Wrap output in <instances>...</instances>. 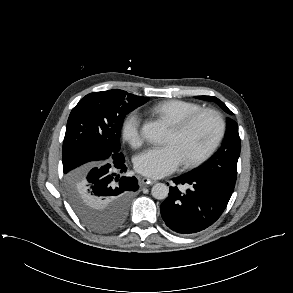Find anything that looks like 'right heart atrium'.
Masks as SVG:
<instances>
[{"label": "right heart atrium", "instance_id": "right-heart-atrium-1", "mask_svg": "<svg viewBox=\"0 0 293 293\" xmlns=\"http://www.w3.org/2000/svg\"><path fill=\"white\" fill-rule=\"evenodd\" d=\"M141 123V115L136 111L128 113L122 121V137L132 146H138L143 139L141 132Z\"/></svg>", "mask_w": 293, "mask_h": 293}]
</instances>
